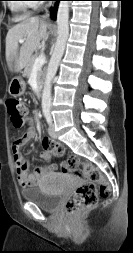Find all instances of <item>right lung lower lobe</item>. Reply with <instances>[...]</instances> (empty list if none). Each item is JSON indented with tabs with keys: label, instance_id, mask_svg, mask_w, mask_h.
Returning a JSON list of instances; mask_svg holds the SVG:
<instances>
[{
	"label": "right lung lower lobe",
	"instance_id": "right-lung-lower-lobe-1",
	"mask_svg": "<svg viewBox=\"0 0 133 253\" xmlns=\"http://www.w3.org/2000/svg\"><path fill=\"white\" fill-rule=\"evenodd\" d=\"M54 1H59V0H54ZM56 10H57V5L54 7V10H52V13H51L52 18L55 17V15H56Z\"/></svg>",
	"mask_w": 133,
	"mask_h": 253
}]
</instances>
